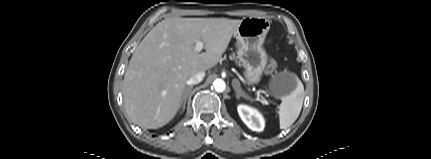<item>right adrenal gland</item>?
Wrapping results in <instances>:
<instances>
[{"label":"right adrenal gland","mask_w":431,"mask_h":159,"mask_svg":"<svg viewBox=\"0 0 431 159\" xmlns=\"http://www.w3.org/2000/svg\"><path fill=\"white\" fill-rule=\"evenodd\" d=\"M193 88V86H189L184 90L183 96H182V100H181V105L180 107H182V111L181 113H183V111L185 110V106H186V101H187V96H188V92Z\"/></svg>","instance_id":"right-adrenal-gland-1"}]
</instances>
